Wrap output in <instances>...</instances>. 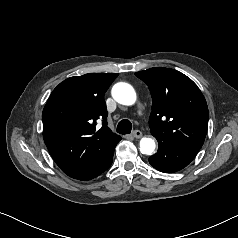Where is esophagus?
I'll return each mask as SVG.
<instances>
[{
	"label": "esophagus",
	"mask_w": 238,
	"mask_h": 238,
	"mask_svg": "<svg viewBox=\"0 0 238 238\" xmlns=\"http://www.w3.org/2000/svg\"><path fill=\"white\" fill-rule=\"evenodd\" d=\"M132 136L136 139H139L142 137V132L140 130H135L132 132Z\"/></svg>",
	"instance_id": "1"
}]
</instances>
